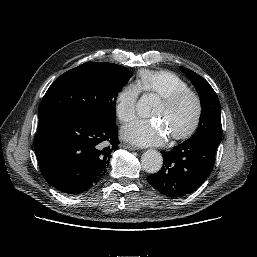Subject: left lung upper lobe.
<instances>
[{
  "instance_id": "1",
  "label": "left lung upper lobe",
  "mask_w": 257,
  "mask_h": 257,
  "mask_svg": "<svg viewBox=\"0 0 257 257\" xmlns=\"http://www.w3.org/2000/svg\"><path fill=\"white\" fill-rule=\"evenodd\" d=\"M192 81L201 100V118L196 133L190 140L208 139L218 143L222 139L221 110L219 99L210 84L197 73L180 67Z\"/></svg>"
}]
</instances>
